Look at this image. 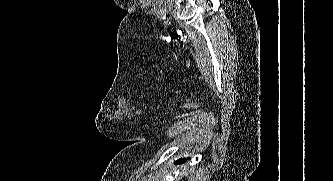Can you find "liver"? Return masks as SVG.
Returning a JSON list of instances; mask_svg holds the SVG:
<instances>
[{
  "label": "liver",
  "mask_w": 333,
  "mask_h": 181,
  "mask_svg": "<svg viewBox=\"0 0 333 181\" xmlns=\"http://www.w3.org/2000/svg\"><path fill=\"white\" fill-rule=\"evenodd\" d=\"M188 172H189L190 175H192L194 173V171L192 169L188 170ZM185 173H187V171H185ZM191 181H196V180H194V179L192 180L191 179Z\"/></svg>",
  "instance_id": "1"
}]
</instances>
